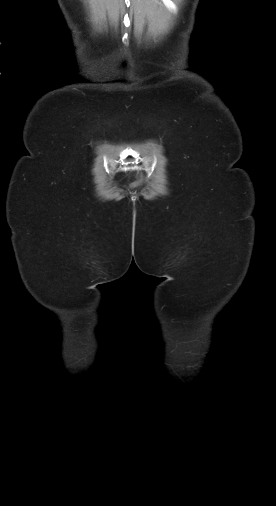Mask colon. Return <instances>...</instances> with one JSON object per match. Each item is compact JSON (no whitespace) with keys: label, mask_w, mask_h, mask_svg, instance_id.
<instances>
[{"label":"colon","mask_w":276,"mask_h":506,"mask_svg":"<svg viewBox=\"0 0 276 506\" xmlns=\"http://www.w3.org/2000/svg\"><path fill=\"white\" fill-rule=\"evenodd\" d=\"M146 180H147V178L145 176L141 175V177H140V179L138 181V184H140V183H142V182H144Z\"/></svg>","instance_id":"5ec220e1"}]
</instances>
